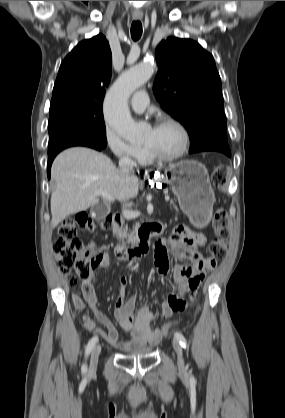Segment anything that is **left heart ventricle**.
Returning <instances> with one entry per match:
<instances>
[{"instance_id": "left-heart-ventricle-1", "label": "left heart ventricle", "mask_w": 285, "mask_h": 418, "mask_svg": "<svg viewBox=\"0 0 285 418\" xmlns=\"http://www.w3.org/2000/svg\"><path fill=\"white\" fill-rule=\"evenodd\" d=\"M182 144L180 131L172 125H163L149 129L143 145L151 147L155 152L164 156L177 153Z\"/></svg>"}]
</instances>
